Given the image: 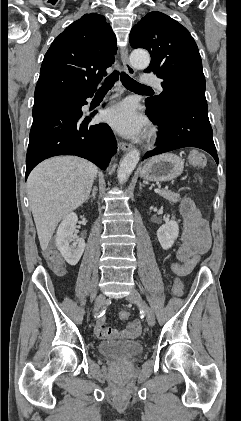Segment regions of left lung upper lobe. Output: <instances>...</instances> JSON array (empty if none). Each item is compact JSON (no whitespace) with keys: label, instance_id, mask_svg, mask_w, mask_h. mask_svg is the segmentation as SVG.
Listing matches in <instances>:
<instances>
[{"label":"left lung upper lobe","instance_id":"1","mask_svg":"<svg viewBox=\"0 0 241 421\" xmlns=\"http://www.w3.org/2000/svg\"><path fill=\"white\" fill-rule=\"evenodd\" d=\"M130 45L150 52L145 72L162 80L163 92L147 98L146 106L164 112L179 97L190 92L205 94V77L198 47L189 31L158 11L146 14L130 32Z\"/></svg>","mask_w":241,"mask_h":421}]
</instances>
